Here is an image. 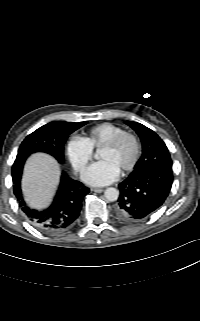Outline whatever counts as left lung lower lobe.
<instances>
[{
	"instance_id": "1",
	"label": "left lung lower lobe",
	"mask_w": 200,
	"mask_h": 321,
	"mask_svg": "<svg viewBox=\"0 0 200 321\" xmlns=\"http://www.w3.org/2000/svg\"><path fill=\"white\" fill-rule=\"evenodd\" d=\"M173 183V172L167 167L134 170L119 184L120 196L115 206L117 217L137 222L150 216L166 200Z\"/></svg>"
}]
</instances>
